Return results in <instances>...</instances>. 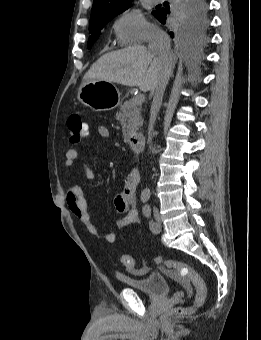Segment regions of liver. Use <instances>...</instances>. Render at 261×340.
<instances>
[{"label": "liver", "instance_id": "obj_1", "mask_svg": "<svg viewBox=\"0 0 261 340\" xmlns=\"http://www.w3.org/2000/svg\"><path fill=\"white\" fill-rule=\"evenodd\" d=\"M172 64V55L161 58L144 46L127 47L100 57L85 73L83 83L94 79L153 91Z\"/></svg>", "mask_w": 261, "mask_h": 340}]
</instances>
